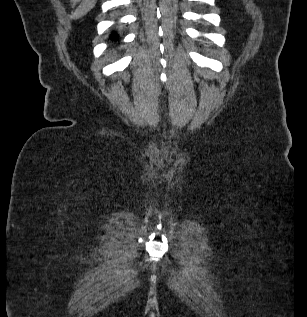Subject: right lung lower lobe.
I'll return each mask as SVG.
<instances>
[{
    "mask_svg": "<svg viewBox=\"0 0 307 317\" xmlns=\"http://www.w3.org/2000/svg\"><path fill=\"white\" fill-rule=\"evenodd\" d=\"M111 37H112V39H115V40L118 38V36H117L116 33H112V34H111Z\"/></svg>",
    "mask_w": 307,
    "mask_h": 317,
    "instance_id": "98d812e1",
    "label": "right lung lower lobe"
}]
</instances>
